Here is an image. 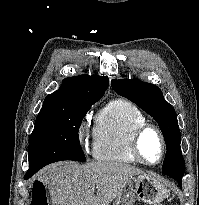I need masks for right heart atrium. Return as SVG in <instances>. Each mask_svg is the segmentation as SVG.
<instances>
[{"label": "right heart atrium", "mask_w": 199, "mask_h": 205, "mask_svg": "<svg viewBox=\"0 0 199 205\" xmlns=\"http://www.w3.org/2000/svg\"><path fill=\"white\" fill-rule=\"evenodd\" d=\"M88 127H87V122L84 120L82 121V123L80 124L79 126V129H78V139L80 141V143H84L86 138H87V135H88Z\"/></svg>", "instance_id": "1"}]
</instances>
